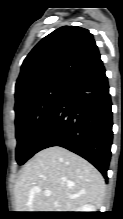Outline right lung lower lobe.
<instances>
[{
	"mask_svg": "<svg viewBox=\"0 0 123 219\" xmlns=\"http://www.w3.org/2000/svg\"><path fill=\"white\" fill-rule=\"evenodd\" d=\"M111 106L108 80L99 58L66 83L36 151L64 147L88 160L107 179L113 138Z\"/></svg>",
	"mask_w": 123,
	"mask_h": 219,
	"instance_id": "98d812e1",
	"label": "right lung lower lobe"
}]
</instances>
